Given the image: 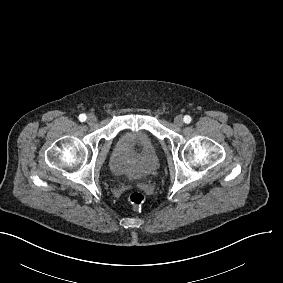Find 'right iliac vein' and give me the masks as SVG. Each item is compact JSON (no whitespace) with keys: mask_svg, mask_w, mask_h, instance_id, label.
<instances>
[{"mask_svg":"<svg viewBox=\"0 0 283 283\" xmlns=\"http://www.w3.org/2000/svg\"><path fill=\"white\" fill-rule=\"evenodd\" d=\"M96 120H97V118H96L95 115H93V114H90V115H88V117H87V122H88L89 124H94V123L96 122Z\"/></svg>","mask_w":283,"mask_h":283,"instance_id":"right-iliac-vein-1","label":"right iliac vein"}]
</instances>
